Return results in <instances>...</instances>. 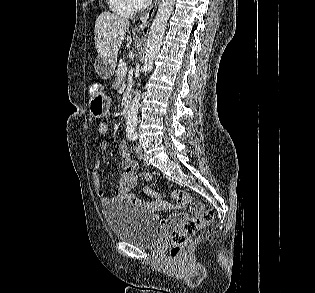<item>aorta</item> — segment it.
Masks as SVG:
<instances>
[{
	"mask_svg": "<svg viewBox=\"0 0 315 293\" xmlns=\"http://www.w3.org/2000/svg\"><path fill=\"white\" fill-rule=\"evenodd\" d=\"M175 0H161L157 14L150 27L147 43L144 65L142 67L145 75L149 73L153 67V61L159 52L162 44L163 35L168 22V19L173 11ZM141 93L137 92L134 97L127 117L126 130L133 132L137 126L138 109L140 106Z\"/></svg>",
	"mask_w": 315,
	"mask_h": 293,
	"instance_id": "obj_1",
	"label": "aorta"
}]
</instances>
